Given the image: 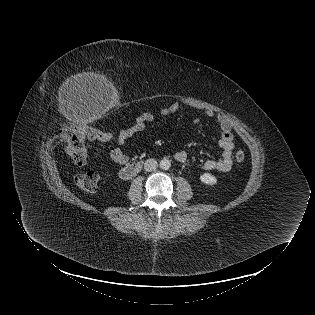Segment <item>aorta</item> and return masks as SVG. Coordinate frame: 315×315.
Returning <instances> with one entry per match:
<instances>
[{
  "instance_id": "obj_1",
  "label": "aorta",
  "mask_w": 315,
  "mask_h": 315,
  "mask_svg": "<svg viewBox=\"0 0 315 315\" xmlns=\"http://www.w3.org/2000/svg\"><path fill=\"white\" fill-rule=\"evenodd\" d=\"M171 167L170 160L164 158L160 161V168L163 170H168Z\"/></svg>"
}]
</instances>
